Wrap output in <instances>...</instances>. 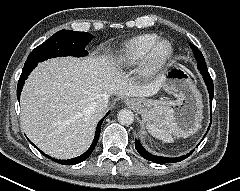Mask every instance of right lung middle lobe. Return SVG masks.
<instances>
[{"label": "right lung middle lobe", "instance_id": "obj_1", "mask_svg": "<svg viewBox=\"0 0 240 191\" xmlns=\"http://www.w3.org/2000/svg\"><path fill=\"white\" fill-rule=\"evenodd\" d=\"M93 36L87 32L61 30L52 35L43 44L36 47L28 56L24 67L58 56L82 57L88 55L85 50Z\"/></svg>", "mask_w": 240, "mask_h": 191}]
</instances>
